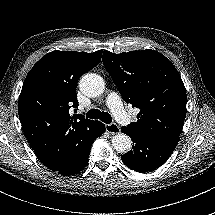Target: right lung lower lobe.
<instances>
[{"label": "right lung lower lobe", "mask_w": 215, "mask_h": 215, "mask_svg": "<svg viewBox=\"0 0 215 215\" xmlns=\"http://www.w3.org/2000/svg\"><path fill=\"white\" fill-rule=\"evenodd\" d=\"M105 132V125L93 121L71 135L68 140L69 148L65 161L52 171L70 176L80 172L88 163V157L93 141Z\"/></svg>", "instance_id": "1"}]
</instances>
